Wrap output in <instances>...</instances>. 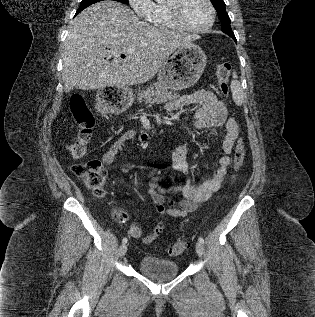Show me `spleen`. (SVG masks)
<instances>
[{"label":"spleen","mask_w":315,"mask_h":317,"mask_svg":"<svg viewBox=\"0 0 315 317\" xmlns=\"http://www.w3.org/2000/svg\"><path fill=\"white\" fill-rule=\"evenodd\" d=\"M231 91L236 105L240 106L244 100V93L240 82L237 80L236 72H233V81L231 82Z\"/></svg>","instance_id":"1"}]
</instances>
